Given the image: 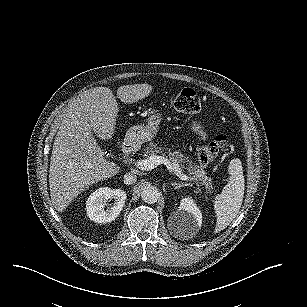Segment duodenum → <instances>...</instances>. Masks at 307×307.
<instances>
[{
    "label": "duodenum",
    "mask_w": 307,
    "mask_h": 307,
    "mask_svg": "<svg viewBox=\"0 0 307 307\" xmlns=\"http://www.w3.org/2000/svg\"><path fill=\"white\" fill-rule=\"evenodd\" d=\"M135 150V144L132 141L124 143L123 151L126 155H131Z\"/></svg>",
    "instance_id": "1"
}]
</instances>
